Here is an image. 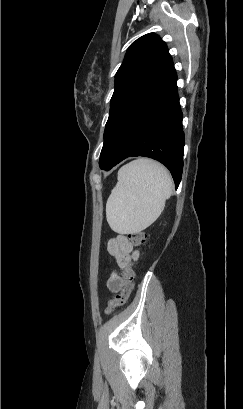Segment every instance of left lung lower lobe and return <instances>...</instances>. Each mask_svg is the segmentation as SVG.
I'll list each match as a JSON object with an SVG mask.
<instances>
[{"label":"left lung lower lobe","mask_w":243,"mask_h":409,"mask_svg":"<svg viewBox=\"0 0 243 409\" xmlns=\"http://www.w3.org/2000/svg\"><path fill=\"white\" fill-rule=\"evenodd\" d=\"M172 59L149 80L121 118L110 168L130 156H145L164 164L179 186L183 169L184 133Z\"/></svg>","instance_id":"obj_1"}]
</instances>
